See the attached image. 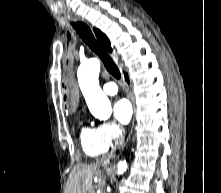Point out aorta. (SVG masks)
I'll return each instance as SVG.
<instances>
[{
    "mask_svg": "<svg viewBox=\"0 0 221 193\" xmlns=\"http://www.w3.org/2000/svg\"><path fill=\"white\" fill-rule=\"evenodd\" d=\"M99 72L100 61L96 58H92L79 66L77 77L80 89L91 114L95 118L106 120L111 116L112 108L108 97L99 85ZM126 170V161H120L118 163V175L123 174Z\"/></svg>",
    "mask_w": 221,
    "mask_h": 193,
    "instance_id": "aorta-1",
    "label": "aorta"
}]
</instances>
